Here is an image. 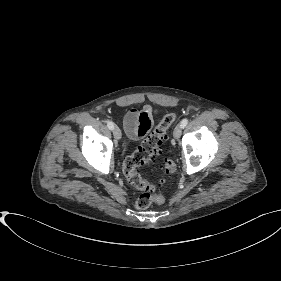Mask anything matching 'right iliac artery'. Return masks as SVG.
<instances>
[{
    "mask_svg": "<svg viewBox=\"0 0 281 281\" xmlns=\"http://www.w3.org/2000/svg\"><path fill=\"white\" fill-rule=\"evenodd\" d=\"M107 126L110 130H113L114 129V123L112 121H108L107 122Z\"/></svg>",
    "mask_w": 281,
    "mask_h": 281,
    "instance_id": "obj_1",
    "label": "right iliac artery"
}]
</instances>
